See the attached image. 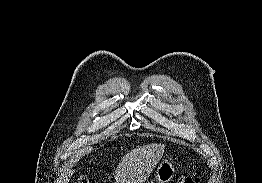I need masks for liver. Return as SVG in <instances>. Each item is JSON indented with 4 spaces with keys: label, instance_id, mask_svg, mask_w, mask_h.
<instances>
[{
    "label": "liver",
    "instance_id": "obj_1",
    "mask_svg": "<svg viewBox=\"0 0 262 183\" xmlns=\"http://www.w3.org/2000/svg\"><path fill=\"white\" fill-rule=\"evenodd\" d=\"M163 154L161 143L139 146L126 153L115 171L116 183H144Z\"/></svg>",
    "mask_w": 262,
    "mask_h": 183
}]
</instances>
